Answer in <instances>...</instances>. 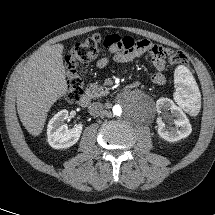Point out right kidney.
I'll use <instances>...</instances> for the list:
<instances>
[{
    "mask_svg": "<svg viewBox=\"0 0 215 215\" xmlns=\"http://www.w3.org/2000/svg\"><path fill=\"white\" fill-rule=\"evenodd\" d=\"M68 116L67 110H61L48 123V142L55 149L68 148L74 145L82 133L83 126L81 124L76 125L72 129H68V126L64 123Z\"/></svg>",
    "mask_w": 215,
    "mask_h": 215,
    "instance_id": "right-kidney-1",
    "label": "right kidney"
}]
</instances>
